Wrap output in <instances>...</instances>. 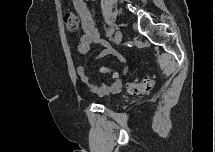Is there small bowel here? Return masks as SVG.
Listing matches in <instances>:
<instances>
[{
  "mask_svg": "<svg viewBox=\"0 0 215 152\" xmlns=\"http://www.w3.org/2000/svg\"><path fill=\"white\" fill-rule=\"evenodd\" d=\"M73 6L76 11L77 16L80 19L83 34L79 38L77 45V51L80 55H87L94 44H102L107 48L106 53L117 55L120 61L128 63L129 60L123 55L118 54L114 49L109 47L108 43L101 39L100 32L96 27L94 20L83 0H73ZM100 56H97L99 58ZM77 74L82 83L90 89L93 93L105 96L110 94H115L121 89V82H115L113 84H103L101 86H96L89 80L85 69L82 66L77 68Z\"/></svg>",
  "mask_w": 215,
  "mask_h": 152,
  "instance_id": "1",
  "label": "small bowel"
}]
</instances>
